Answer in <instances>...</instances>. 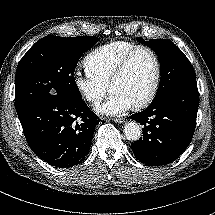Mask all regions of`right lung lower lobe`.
I'll list each match as a JSON object with an SVG mask.
<instances>
[{
	"mask_svg": "<svg viewBox=\"0 0 215 215\" xmlns=\"http://www.w3.org/2000/svg\"><path fill=\"white\" fill-rule=\"evenodd\" d=\"M16 110L30 148L59 168L78 165L85 159L100 121L83 100L43 97Z\"/></svg>",
	"mask_w": 215,
	"mask_h": 215,
	"instance_id": "right-lung-lower-lobe-1",
	"label": "right lung lower lobe"
}]
</instances>
